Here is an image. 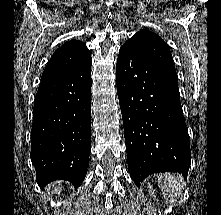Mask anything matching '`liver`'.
Segmentation results:
<instances>
[{"instance_id": "6515ba94", "label": "liver", "mask_w": 221, "mask_h": 215, "mask_svg": "<svg viewBox=\"0 0 221 215\" xmlns=\"http://www.w3.org/2000/svg\"><path fill=\"white\" fill-rule=\"evenodd\" d=\"M61 188H62V186H60V184H57V185L50 184L47 189L49 192H53V191L59 192L61 190Z\"/></svg>"}]
</instances>
